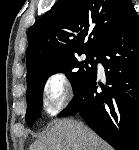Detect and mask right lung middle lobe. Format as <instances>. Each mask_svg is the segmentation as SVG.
Returning a JSON list of instances; mask_svg holds the SVG:
<instances>
[{"label": "right lung middle lobe", "mask_w": 139, "mask_h": 150, "mask_svg": "<svg viewBox=\"0 0 139 150\" xmlns=\"http://www.w3.org/2000/svg\"><path fill=\"white\" fill-rule=\"evenodd\" d=\"M77 54H85L86 59L79 62L75 54L58 58L46 63L27 77L26 121L30 127L33 126L36 119L40 116L42 92L49 76L59 72L65 73L72 84L73 90H75L87 81L95 71L97 62L94 60V57L97 56V52H79Z\"/></svg>", "instance_id": "1"}]
</instances>
